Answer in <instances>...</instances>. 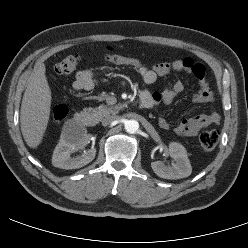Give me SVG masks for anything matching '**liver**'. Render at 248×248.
Listing matches in <instances>:
<instances>
[{
	"label": "liver",
	"instance_id": "6515ba94",
	"mask_svg": "<svg viewBox=\"0 0 248 248\" xmlns=\"http://www.w3.org/2000/svg\"><path fill=\"white\" fill-rule=\"evenodd\" d=\"M45 72V65L41 64L31 75L21 104V131L30 148L41 143L50 116L51 90Z\"/></svg>",
	"mask_w": 248,
	"mask_h": 248
}]
</instances>
